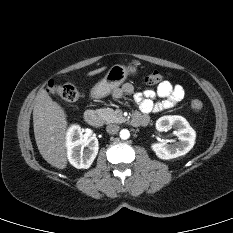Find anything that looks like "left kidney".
Here are the masks:
<instances>
[{
	"label": "left kidney",
	"instance_id": "5707ae66",
	"mask_svg": "<svg viewBox=\"0 0 233 233\" xmlns=\"http://www.w3.org/2000/svg\"><path fill=\"white\" fill-rule=\"evenodd\" d=\"M172 128L176 130L178 142L170 145L167 144V141H163L151 145L152 150L160 159L169 160L185 155L195 144L196 132L184 117L178 115L163 116L156 122V129L160 132H167Z\"/></svg>",
	"mask_w": 233,
	"mask_h": 233
}]
</instances>
